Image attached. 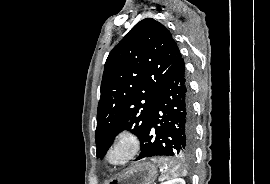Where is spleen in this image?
<instances>
[{
    "label": "spleen",
    "instance_id": "3e777b00",
    "mask_svg": "<svg viewBox=\"0 0 270 184\" xmlns=\"http://www.w3.org/2000/svg\"><path fill=\"white\" fill-rule=\"evenodd\" d=\"M161 169L163 170V173H164L163 179L170 180L178 176L177 168L172 167L171 164L166 161L161 166ZM167 182H162L161 184H166Z\"/></svg>",
    "mask_w": 270,
    "mask_h": 184
}]
</instances>
